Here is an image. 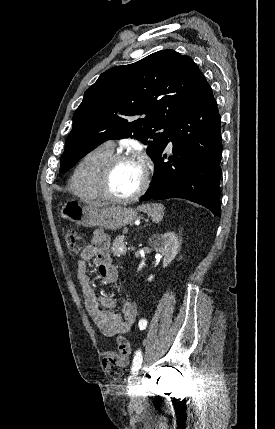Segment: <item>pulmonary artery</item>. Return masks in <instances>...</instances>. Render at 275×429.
Masks as SVG:
<instances>
[{
  "label": "pulmonary artery",
  "instance_id": "e3ab8cb5",
  "mask_svg": "<svg viewBox=\"0 0 275 429\" xmlns=\"http://www.w3.org/2000/svg\"><path fill=\"white\" fill-rule=\"evenodd\" d=\"M106 145L113 148V143L111 141L107 142Z\"/></svg>",
  "mask_w": 275,
  "mask_h": 429
}]
</instances>
